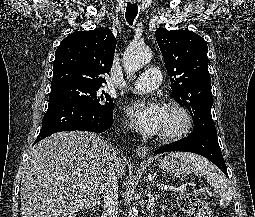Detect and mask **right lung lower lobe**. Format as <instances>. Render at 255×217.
<instances>
[{
	"mask_svg": "<svg viewBox=\"0 0 255 217\" xmlns=\"http://www.w3.org/2000/svg\"><path fill=\"white\" fill-rule=\"evenodd\" d=\"M112 123L113 111H96L64 99L50 101L42 120V128L34 144L61 131L83 130L102 133L108 130Z\"/></svg>",
	"mask_w": 255,
	"mask_h": 217,
	"instance_id": "98d812e1",
	"label": "right lung lower lobe"
}]
</instances>
